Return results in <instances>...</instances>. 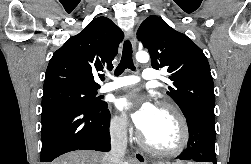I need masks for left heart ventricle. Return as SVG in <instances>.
Instances as JSON below:
<instances>
[{
	"label": "left heart ventricle",
	"mask_w": 251,
	"mask_h": 164,
	"mask_svg": "<svg viewBox=\"0 0 251 164\" xmlns=\"http://www.w3.org/2000/svg\"><path fill=\"white\" fill-rule=\"evenodd\" d=\"M144 135L154 147L171 148L178 142L179 128L171 114L158 109L153 125Z\"/></svg>",
	"instance_id": "1"
}]
</instances>
